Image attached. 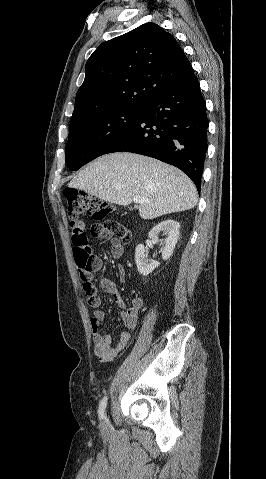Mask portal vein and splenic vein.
<instances>
[{
    "label": "portal vein and splenic vein",
    "instance_id": "portal-vein-and-splenic-vein-1",
    "mask_svg": "<svg viewBox=\"0 0 266 479\" xmlns=\"http://www.w3.org/2000/svg\"><path fill=\"white\" fill-rule=\"evenodd\" d=\"M133 202L134 203H143V202H148V200L144 199V198H141L140 196H135L133 197Z\"/></svg>",
    "mask_w": 266,
    "mask_h": 479
}]
</instances>
